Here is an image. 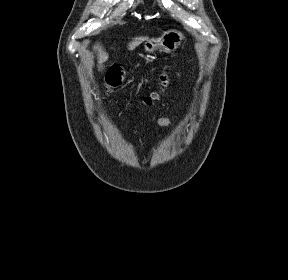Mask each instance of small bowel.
<instances>
[{
  "label": "small bowel",
  "mask_w": 288,
  "mask_h": 280,
  "mask_svg": "<svg viewBox=\"0 0 288 280\" xmlns=\"http://www.w3.org/2000/svg\"><path fill=\"white\" fill-rule=\"evenodd\" d=\"M156 123L157 125L164 127H169L173 125L172 121L168 118H159Z\"/></svg>",
  "instance_id": "1"
}]
</instances>
